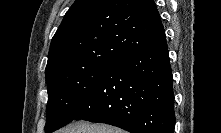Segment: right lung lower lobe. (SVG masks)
<instances>
[{"label":"right lung lower lobe","instance_id":"obj_1","mask_svg":"<svg viewBox=\"0 0 221 133\" xmlns=\"http://www.w3.org/2000/svg\"><path fill=\"white\" fill-rule=\"evenodd\" d=\"M73 120L106 123L131 133H173L174 93L166 40L113 62Z\"/></svg>","mask_w":221,"mask_h":133}]
</instances>
